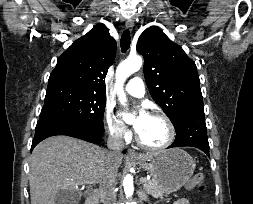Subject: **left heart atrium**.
Returning a JSON list of instances; mask_svg holds the SVG:
<instances>
[{
  "label": "left heart atrium",
  "mask_w": 253,
  "mask_h": 204,
  "mask_svg": "<svg viewBox=\"0 0 253 204\" xmlns=\"http://www.w3.org/2000/svg\"><path fill=\"white\" fill-rule=\"evenodd\" d=\"M148 116H149L148 113L145 112L144 110L140 111L139 116L136 119L135 124H134V128L137 132L140 130L141 126L143 125L145 120L148 118Z\"/></svg>",
  "instance_id": "obj_1"
}]
</instances>
